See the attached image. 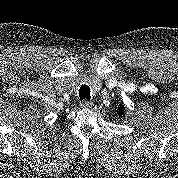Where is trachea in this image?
<instances>
[{
    "label": "trachea",
    "mask_w": 178,
    "mask_h": 178,
    "mask_svg": "<svg viewBox=\"0 0 178 178\" xmlns=\"http://www.w3.org/2000/svg\"><path fill=\"white\" fill-rule=\"evenodd\" d=\"M80 99L90 100V88L87 85H82L79 89Z\"/></svg>",
    "instance_id": "3493384b"
}]
</instances>
